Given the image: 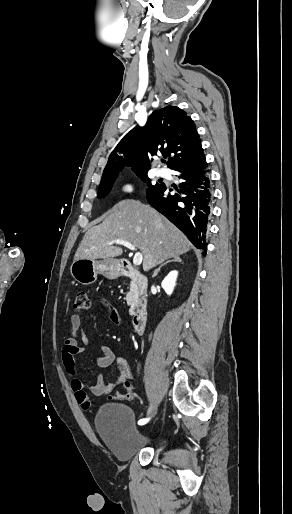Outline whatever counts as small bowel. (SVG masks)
<instances>
[{
	"instance_id": "obj_1",
	"label": "small bowel",
	"mask_w": 292,
	"mask_h": 514,
	"mask_svg": "<svg viewBox=\"0 0 292 514\" xmlns=\"http://www.w3.org/2000/svg\"><path fill=\"white\" fill-rule=\"evenodd\" d=\"M95 304L102 307L108 316L116 322L121 323V317L118 314L115 306L105 297H98ZM70 336L65 340L62 348V363L66 372L72 377L70 386L75 393L77 402L81 405L84 412L91 410V402L89 393L95 397H102L110 394L107 397L108 401L112 398L115 402L125 401L129 402L136 396L134 391L125 392L113 391L117 386L127 383L133 379V372L128 360L124 357H117L114 351L107 345H99L101 355H93L89 353L84 347L80 346L79 342L87 346L89 338L85 333H81L82 320L80 315L73 314L69 320ZM79 354L89 355L98 367H108L113 363L116 364L118 376L111 382H106L100 375L95 377V383L86 387L83 381L78 377L77 368L75 363V356ZM135 404V401H132Z\"/></svg>"
}]
</instances>
